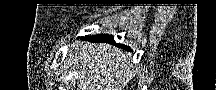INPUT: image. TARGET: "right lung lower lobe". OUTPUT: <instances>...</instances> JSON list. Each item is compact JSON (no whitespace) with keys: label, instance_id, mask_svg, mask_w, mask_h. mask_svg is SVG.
I'll return each instance as SVG.
<instances>
[{"label":"right lung lower lobe","instance_id":"right-lung-lower-lobe-1","mask_svg":"<svg viewBox=\"0 0 216 90\" xmlns=\"http://www.w3.org/2000/svg\"><path fill=\"white\" fill-rule=\"evenodd\" d=\"M85 39L91 40L92 42H105V43H110V44H114V45H116V46H119V47H122V48H125V49L130 50V48L127 47V46H123V45H120V44L115 43V41H114L112 35L99 34V35H95V36H92V37L85 36Z\"/></svg>","mask_w":216,"mask_h":90}]
</instances>
